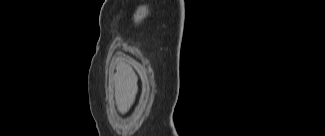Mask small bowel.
<instances>
[{
	"label": "small bowel",
	"instance_id": "1",
	"mask_svg": "<svg viewBox=\"0 0 325 136\" xmlns=\"http://www.w3.org/2000/svg\"><path fill=\"white\" fill-rule=\"evenodd\" d=\"M135 87L136 84L133 77H127L121 81V102L123 105H127L132 100Z\"/></svg>",
	"mask_w": 325,
	"mask_h": 136
}]
</instances>
